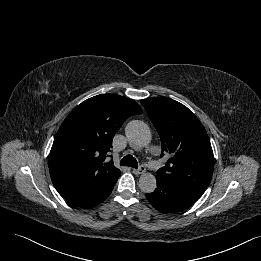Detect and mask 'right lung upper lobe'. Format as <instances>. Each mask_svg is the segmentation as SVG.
<instances>
[{
  "mask_svg": "<svg viewBox=\"0 0 261 261\" xmlns=\"http://www.w3.org/2000/svg\"><path fill=\"white\" fill-rule=\"evenodd\" d=\"M142 113L134 100L113 94L89 98L71 111L49 154L51 180L66 201L94 196L119 178L120 170L105 158L123 122Z\"/></svg>",
  "mask_w": 261,
  "mask_h": 261,
  "instance_id": "right-lung-upper-lobe-1",
  "label": "right lung upper lobe"
}]
</instances>
